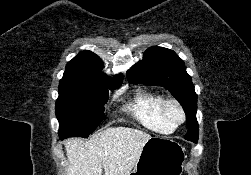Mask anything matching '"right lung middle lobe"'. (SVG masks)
Returning a JSON list of instances; mask_svg holds the SVG:
<instances>
[{"instance_id":"obj_1","label":"right lung middle lobe","mask_w":251,"mask_h":175,"mask_svg":"<svg viewBox=\"0 0 251 175\" xmlns=\"http://www.w3.org/2000/svg\"><path fill=\"white\" fill-rule=\"evenodd\" d=\"M112 89L59 83L55 111L60 139L88 137L104 119V105Z\"/></svg>"}]
</instances>
